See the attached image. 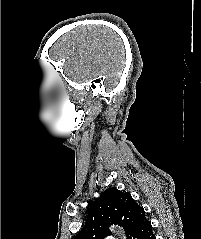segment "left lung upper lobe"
Here are the masks:
<instances>
[{"label":"left lung upper lobe","mask_w":201,"mask_h":239,"mask_svg":"<svg viewBox=\"0 0 201 239\" xmlns=\"http://www.w3.org/2000/svg\"><path fill=\"white\" fill-rule=\"evenodd\" d=\"M146 221L144 209L131 195L112 187L91 203L87 223L74 239H102L111 234L108 228L112 224L122 226L129 239Z\"/></svg>","instance_id":"obj_1"}]
</instances>
